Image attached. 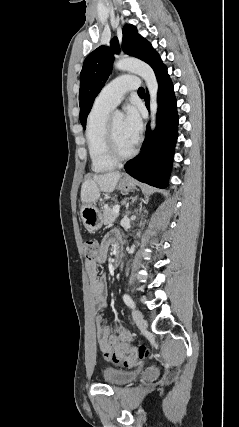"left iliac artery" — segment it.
I'll return each instance as SVG.
<instances>
[{
    "mask_svg": "<svg viewBox=\"0 0 239 427\" xmlns=\"http://www.w3.org/2000/svg\"><path fill=\"white\" fill-rule=\"evenodd\" d=\"M123 300H124L125 304L127 306H129L130 308H134L135 307V304H134L132 298L128 294H124L123 295Z\"/></svg>",
    "mask_w": 239,
    "mask_h": 427,
    "instance_id": "left-iliac-artery-1",
    "label": "left iliac artery"
}]
</instances>
